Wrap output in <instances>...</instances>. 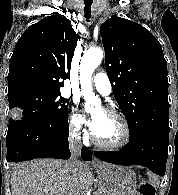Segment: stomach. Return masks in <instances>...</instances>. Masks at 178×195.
<instances>
[{
	"label": "stomach",
	"instance_id": "obj_1",
	"mask_svg": "<svg viewBox=\"0 0 178 195\" xmlns=\"http://www.w3.org/2000/svg\"><path fill=\"white\" fill-rule=\"evenodd\" d=\"M97 172L102 195H136L137 176L129 167L105 165Z\"/></svg>",
	"mask_w": 178,
	"mask_h": 195
}]
</instances>
